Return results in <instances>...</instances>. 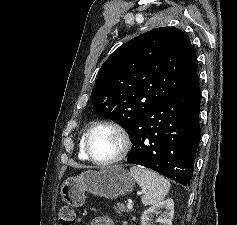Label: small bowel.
<instances>
[{"label": "small bowel", "instance_id": "c3829d8e", "mask_svg": "<svg viewBox=\"0 0 237 225\" xmlns=\"http://www.w3.org/2000/svg\"><path fill=\"white\" fill-rule=\"evenodd\" d=\"M90 225H116L115 222L107 216H98L94 218Z\"/></svg>", "mask_w": 237, "mask_h": 225}]
</instances>
